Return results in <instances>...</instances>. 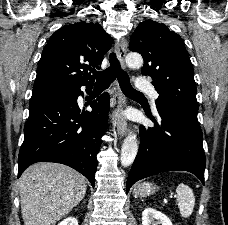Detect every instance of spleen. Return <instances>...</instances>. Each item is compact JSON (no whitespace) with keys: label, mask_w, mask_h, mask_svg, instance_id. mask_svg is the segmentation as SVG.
Here are the masks:
<instances>
[{"label":"spleen","mask_w":228,"mask_h":225,"mask_svg":"<svg viewBox=\"0 0 228 225\" xmlns=\"http://www.w3.org/2000/svg\"><path fill=\"white\" fill-rule=\"evenodd\" d=\"M177 197L176 201L178 203V209L180 211L181 217L187 219L193 213L195 205V197L192 189L188 185H178L176 189Z\"/></svg>","instance_id":"1"}]
</instances>
